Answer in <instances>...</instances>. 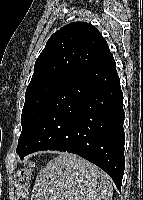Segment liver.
Segmentation results:
<instances>
[{
  "mask_svg": "<svg viewBox=\"0 0 143 200\" xmlns=\"http://www.w3.org/2000/svg\"><path fill=\"white\" fill-rule=\"evenodd\" d=\"M109 175L82 157L63 152L40 170L31 200H112Z\"/></svg>",
  "mask_w": 143,
  "mask_h": 200,
  "instance_id": "1",
  "label": "liver"
}]
</instances>
